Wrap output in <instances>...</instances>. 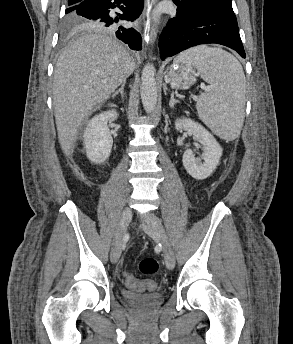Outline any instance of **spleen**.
Wrapping results in <instances>:
<instances>
[{
  "mask_svg": "<svg viewBox=\"0 0 293 344\" xmlns=\"http://www.w3.org/2000/svg\"><path fill=\"white\" fill-rule=\"evenodd\" d=\"M176 59L192 63L211 85L209 92L197 100L200 119L219 137L235 139L244 122L246 92L239 61L222 49L207 46L189 49Z\"/></svg>",
  "mask_w": 293,
  "mask_h": 344,
  "instance_id": "3e777b00",
  "label": "spleen"
}]
</instances>
